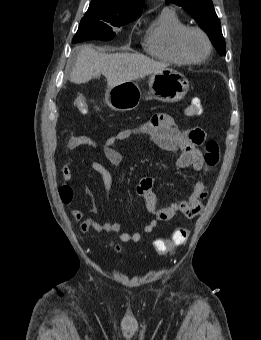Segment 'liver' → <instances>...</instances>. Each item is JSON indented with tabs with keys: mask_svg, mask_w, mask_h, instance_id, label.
I'll return each mask as SVG.
<instances>
[{
	"mask_svg": "<svg viewBox=\"0 0 261 340\" xmlns=\"http://www.w3.org/2000/svg\"><path fill=\"white\" fill-rule=\"evenodd\" d=\"M167 65L141 54L96 51L91 45L81 47L70 75L72 83H87L101 74L107 79L108 87L143 78L166 69Z\"/></svg>",
	"mask_w": 261,
	"mask_h": 340,
	"instance_id": "1",
	"label": "liver"
}]
</instances>
